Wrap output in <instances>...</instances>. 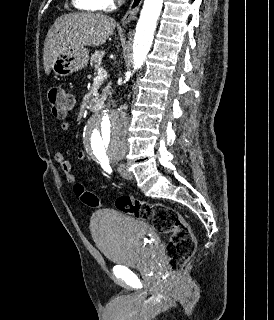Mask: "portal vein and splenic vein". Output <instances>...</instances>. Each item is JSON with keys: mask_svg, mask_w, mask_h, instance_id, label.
Wrapping results in <instances>:
<instances>
[{"mask_svg": "<svg viewBox=\"0 0 274 320\" xmlns=\"http://www.w3.org/2000/svg\"><path fill=\"white\" fill-rule=\"evenodd\" d=\"M97 72H98L97 78H102V76H107V72H106V70H103V68H99V70H97Z\"/></svg>", "mask_w": 274, "mask_h": 320, "instance_id": "obj_1", "label": "portal vein and splenic vein"}]
</instances>
